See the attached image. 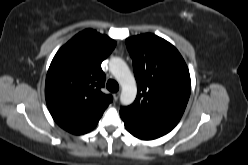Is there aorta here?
Segmentation results:
<instances>
[{
    "label": "aorta",
    "instance_id": "aorta-1",
    "mask_svg": "<svg viewBox=\"0 0 248 165\" xmlns=\"http://www.w3.org/2000/svg\"><path fill=\"white\" fill-rule=\"evenodd\" d=\"M110 72L122 86L120 102L130 105L137 95L136 81L126 62L119 57H112L109 63Z\"/></svg>",
    "mask_w": 248,
    "mask_h": 165
}]
</instances>
